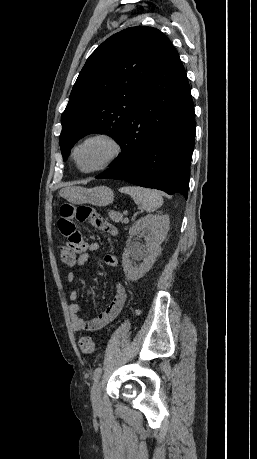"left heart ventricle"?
Segmentation results:
<instances>
[{
  "label": "left heart ventricle",
  "instance_id": "1",
  "mask_svg": "<svg viewBox=\"0 0 257 459\" xmlns=\"http://www.w3.org/2000/svg\"><path fill=\"white\" fill-rule=\"evenodd\" d=\"M111 152L110 146L103 141L89 142L80 147L76 160L82 169H90L102 162Z\"/></svg>",
  "mask_w": 257,
  "mask_h": 459
}]
</instances>
